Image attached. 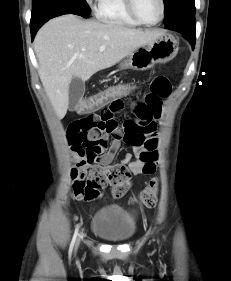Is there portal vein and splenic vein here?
Segmentation results:
<instances>
[{"mask_svg":"<svg viewBox=\"0 0 231 281\" xmlns=\"http://www.w3.org/2000/svg\"><path fill=\"white\" fill-rule=\"evenodd\" d=\"M105 50V46H100L99 51L103 52Z\"/></svg>","mask_w":231,"mask_h":281,"instance_id":"obj_1","label":"portal vein and splenic vein"}]
</instances>
